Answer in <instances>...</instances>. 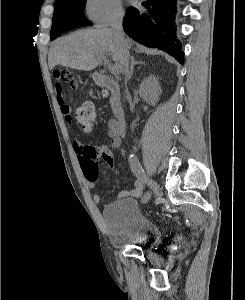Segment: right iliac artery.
<instances>
[{
    "label": "right iliac artery",
    "mask_w": 245,
    "mask_h": 300,
    "mask_svg": "<svg viewBox=\"0 0 245 300\" xmlns=\"http://www.w3.org/2000/svg\"><path fill=\"white\" fill-rule=\"evenodd\" d=\"M129 164L131 167L132 172L136 175V177L141 180L143 183L147 184V177L144 173L143 168L141 167L137 157L134 154L129 155ZM152 192V191H150ZM150 193L147 192L142 199L143 205H148L150 203Z\"/></svg>",
    "instance_id": "right-iliac-artery-1"
}]
</instances>
